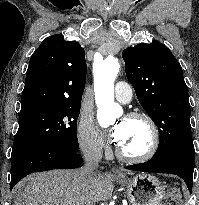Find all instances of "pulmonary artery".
Listing matches in <instances>:
<instances>
[{
    "label": "pulmonary artery",
    "instance_id": "obj_1",
    "mask_svg": "<svg viewBox=\"0 0 199 205\" xmlns=\"http://www.w3.org/2000/svg\"><path fill=\"white\" fill-rule=\"evenodd\" d=\"M133 90L127 82L119 81L115 85V98L121 103H128L132 99Z\"/></svg>",
    "mask_w": 199,
    "mask_h": 205
}]
</instances>
